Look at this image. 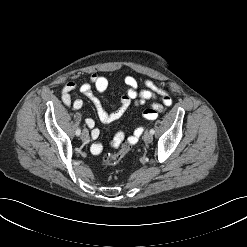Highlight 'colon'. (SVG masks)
<instances>
[{"mask_svg": "<svg viewBox=\"0 0 247 247\" xmlns=\"http://www.w3.org/2000/svg\"><path fill=\"white\" fill-rule=\"evenodd\" d=\"M120 144V147L115 152H109L102 158V164L106 167L117 165L121 159L127 155L131 149V144L128 141H124L123 138L118 139L116 145Z\"/></svg>", "mask_w": 247, "mask_h": 247, "instance_id": "1", "label": "colon"}]
</instances>
